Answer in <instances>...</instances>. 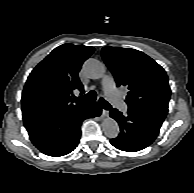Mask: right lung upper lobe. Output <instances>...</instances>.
I'll use <instances>...</instances> for the list:
<instances>
[{
  "instance_id": "obj_1",
  "label": "right lung upper lobe",
  "mask_w": 194,
  "mask_h": 193,
  "mask_svg": "<svg viewBox=\"0 0 194 193\" xmlns=\"http://www.w3.org/2000/svg\"><path fill=\"white\" fill-rule=\"evenodd\" d=\"M93 52L90 46L63 44L34 68L21 99L25 126L53 119L87 104L76 101L73 91L78 89L84 93L78 72Z\"/></svg>"
}]
</instances>
